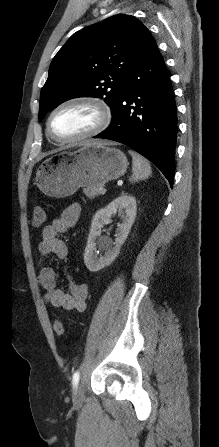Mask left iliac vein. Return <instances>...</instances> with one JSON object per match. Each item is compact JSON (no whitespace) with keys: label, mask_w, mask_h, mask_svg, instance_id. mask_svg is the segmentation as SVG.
Segmentation results:
<instances>
[{"label":"left iliac vein","mask_w":219,"mask_h":447,"mask_svg":"<svg viewBox=\"0 0 219 447\" xmlns=\"http://www.w3.org/2000/svg\"><path fill=\"white\" fill-rule=\"evenodd\" d=\"M84 397V387L83 384L80 382L74 391L73 399L74 401H81Z\"/></svg>","instance_id":"left-iliac-vein-1"}]
</instances>
